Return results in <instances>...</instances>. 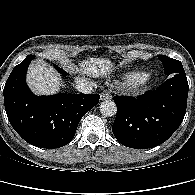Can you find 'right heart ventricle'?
Wrapping results in <instances>:
<instances>
[{
  "label": "right heart ventricle",
  "mask_w": 195,
  "mask_h": 195,
  "mask_svg": "<svg viewBox=\"0 0 195 195\" xmlns=\"http://www.w3.org/2000/svg\"><path fill=\"white\" fill-rule=\"evenodd\" d=\"M145 75V72H130L124 75L123 82L127 86L135 87Z\"/></svg>",
  "instance_id": "obj_1"
}]
</instances>
